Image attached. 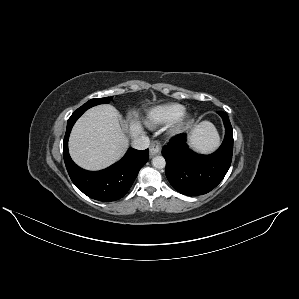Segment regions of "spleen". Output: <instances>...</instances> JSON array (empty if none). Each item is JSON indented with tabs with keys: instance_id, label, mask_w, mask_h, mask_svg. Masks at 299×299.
Instances as JSON below:
<instances>
[{
	"instance_id": "3e777b00",
	"label": "spleen",
	"mask_w": 299,
	"mask_h": 299,
	"mask_svg": "<svg viewBox=\"0 0 299 299\" xmlns=\"http://www.w3.org/2000/svg\"><path fill=\"white\" fill-rule=\"evenodd\" d=\"M209 126H212L210 123H207Z\"/></svg>"
}]
</instances>
